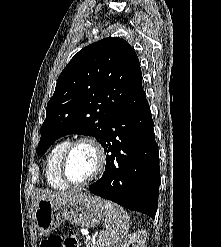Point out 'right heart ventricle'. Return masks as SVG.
I'll use <instances>...</instances> for the list:
<instances>
[{
  "instance_id": "obj_1",
  "label": "right heart ventricle",
  "mask_w": 221,
  "mask_h": 247,
  "mask_svg": "<svg viewBox=\"0 0 221 247\" xmlns=\"http://www.w3.org/2000/svg\"><path fill=\"white\" fill-rule=\"evenodd\" d=\"M69 143V139H63L57 142L47 156L46 179L48 184L56 190H66L69 188V185L60 175L61 159Z\"/></svg>"
}]
</instances>
